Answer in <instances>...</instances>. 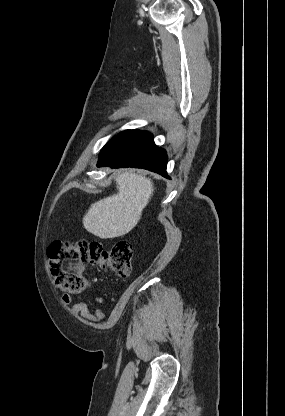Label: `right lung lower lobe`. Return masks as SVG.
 <instances>
[{
	"label": "right lung lower lobe",
	"mask_w": 285,
	"mask_h": 416,
	"mask_svg": "<svg viewBox=\"0 0 285 416\" xmlns=\"http://www.w3.org/2000/svg\"><path fill=\"white\" fill-rule=\"evenodd\" d=\"M167 155L146 131L126 130L113 137L102 149L98 166L136 167L166 174Z\"/></svg>",
	"instance_id": "1"
}]
</instances>
